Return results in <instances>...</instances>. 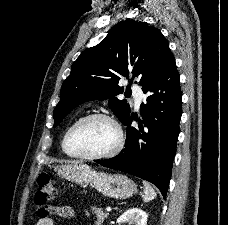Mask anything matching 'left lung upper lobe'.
Wrapping results in <instances>:
<instances>
[{
  "instance_id": "1",
  "label": "left lung upper lobe",
  "mask_w": 228,
  "mask_h": 225,
  "mask_svg": "<svg viewBox=\"0 0 228 225\" xmlns=\"http://www.w3.org/2000/svg\"><path fill=\"white\" fill-rule=\"evenodd\" d=\"M171 55L168 41L158 28L130 19L116 24L103 41L83 51L73 63L53 112L54 127L79 104L94 99H108L109 108L125 122L131 109L126 100L115 98L124 92L118 86L120 77L128 78L131 73L143 87L158 75ZM131 83L132 79L127 90Z\"/></svg>"
}]
</instances>
